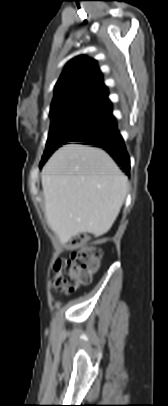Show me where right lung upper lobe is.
<instances>
[{"instance_id": "obj_1", "label": "right lung upper lobe", "mask_w": 168, "mask_h": 406, "mask_svg": "<svg viewBox=\"0 0 168 406\" xmlns=\"http://www.w3.org/2000/svg\"><path fill=\"white\" fill-rule=\"evenodd\" d=\"M79 105L111 106L96 61L82 56L71 60L57 81L50 113Z\"/></svg>"}]
</instances>
